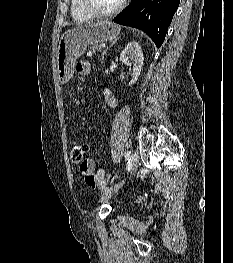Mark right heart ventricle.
I'll return each mask as SVG.
<instances>
[{
    "label": "right heart ventricle",
    "mask_w": 233,
    "mask_h": 263,
    "mask_svg": "<svg viewBox=\"0 0 233 263\" xmlns=\"http://www.w3.org/2000/svg\"><path fill=\"white\" fill-rule=\"evenodd\" d=\"M71 15L74 20L85 22L92 17L84 10L81 0H71Z\"/></svg>",
    "instance_id": "e07e8e85"
}]
</instances>
